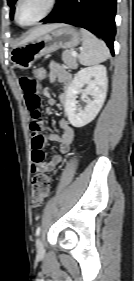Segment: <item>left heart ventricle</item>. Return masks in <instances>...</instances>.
<instances>
[{
  "label": "left heart ventricle",
  "instance_id": "obj_1",
  "mask_svg": "<svg viewBox=\"0 0 134 281\" xmlns=\"http://www.w3.org/2000/svg\"><path fill=\"white\" fill-rule=\"evenodd\" d=\"M49 0H22L18 18L22 24H29L39 18L47 9Z\"/></svg>",
  "mask_w": 134,
  "mask_h": 281
}]
</instances>
